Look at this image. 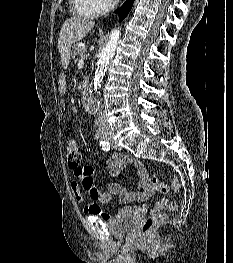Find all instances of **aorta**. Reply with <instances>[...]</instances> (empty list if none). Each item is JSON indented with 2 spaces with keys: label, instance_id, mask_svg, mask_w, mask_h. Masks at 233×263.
<instances>
[{
  "label": "aorta",
  "instance_id": "aorta-1",
  "mask_svg": "<svg viewBox=\"0 0 233 263\" xmlns=\"http://www.w3.org/2000/svg\"><path fill=\"white\" fill-rule=\"evenodd\" d=\"M120 34L121 33L119 29L112 30L108 42L99 54V59L97 61V67L95 69L93 78V92L87 99V104L93 109L96 108L98 89L101 87L102 80L105 76L106 67L114 56Z\"/></svg>",
  "mask_w": 233,
  "mask_h": 263
}]
</instances>
